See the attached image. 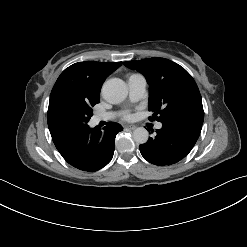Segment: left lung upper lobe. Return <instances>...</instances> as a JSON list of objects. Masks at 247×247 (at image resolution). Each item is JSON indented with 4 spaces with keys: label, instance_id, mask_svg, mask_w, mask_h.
Segmentation results:
<instances>
[{
    "label": "left lung upper lobe",
    "instance_id": "left-lung-upper-lobe-1",
    "mask_svg": "<svg viewBox=\"0 0 247 247\" xmlns=\"http://www.w3.org/2000/svg\"><path fill=\"white\" fill-rule=\"evenodd\" d=\"M124 65L145 76L149 84L148 109L157 121L183 120L203 124L199 89L183 67L159 57L127 61Z\"/></svg>",
    "mask_w": 247,
    "mask_h": 247
}]
</instances>
